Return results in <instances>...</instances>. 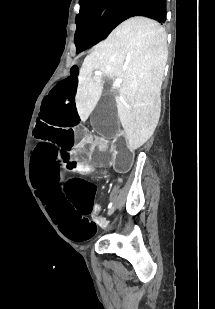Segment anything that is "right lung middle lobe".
Here are the masks:
<instances>
[{"label":"right lung middle lobe","instance_id":"dd1d6c3e","mask_svg":"<svg viewBox=\"0 0 215 309\" xmlns=\"http://www.w3.org/2000/svg\"><path fill=\"white\" fill-rule=\"evenodd\" d=\"M131 0H80L74 38L77 53L103 40Z\"/></svg>","mask_w":215,"mask_h":309}]
</instances>
